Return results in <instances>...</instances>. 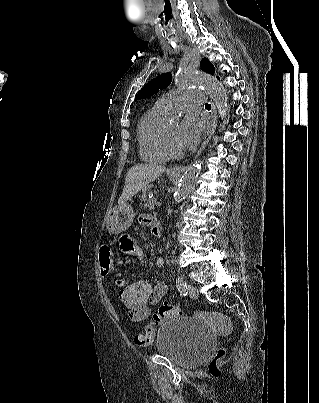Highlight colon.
Instances as JSON below:
<instances>
[{
	"label": "colon",
	"mask_w": 319,
	"mask_h": 403,
	"mask_svg": "<svg viewBox=\"0 0 319 403\" xmlns=\"http://www.w3.org/2000/svg\"><path fill=\"white\" fill-rule=\"evenodd\" d=\"M115 268H132V259L127 261L115 259ZM115 275L116 278L112 279V286L121 287V299L123 301V309L125 310V313H148V291H151V282H125L124 278L126 274L124 270H117ZM182 314L183 310L179 305L162 304L153 314L152 322L147 326L146 331L135 336V343L141 347L149 346L153 341L159 325H161L165 320L177 318ZM225 355L226 350L224 348L217 350L211 361L212 373L216 372L217 363L222 360Z\"/></svg>",
	"instance_id": "1"
}]
</instances>
